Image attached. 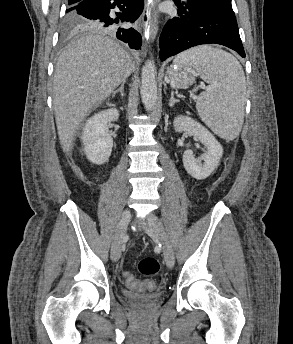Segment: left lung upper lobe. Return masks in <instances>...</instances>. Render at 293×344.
Instances as JSON below:
<instances>
[{
  "label": "left lung upper lobe",
  "instance_id": "5c2ea615",
  "mask_svg": "<svg viewBox=\"0 0 293 344\" xmlns=\"http://www.w3.org/2000/svg\"><path fill=\"white\" fill-rule=\"evenodd\" d=\"M199 4L211 9L216 14L230 22L233 26H237L236 17L232 9L231 0H197Z\"/></svg>",
  "mask_w": 293,
  "mask_h": 344
}]
</instances>
